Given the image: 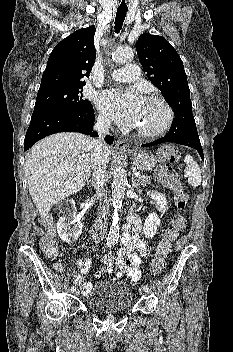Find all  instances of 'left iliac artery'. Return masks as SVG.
Instances as JSON below:
<instances>
[{
	"label": "left iliac artery",
	"instance_id": "1",
	"mask_svg": "<svg viewBox=\"0 0 233 352\" xmlns=\"http://www.w3.org/2000/svg\"><path fill=\"white\" fill-rule=\"evenodd\" d=\"M143 290H145L146 292H148V290H149L148 286H147V285H144V286H143Z\"/></svg>",
	"mask_w": 233,
	"mask_h": 352
}]
</instances>
